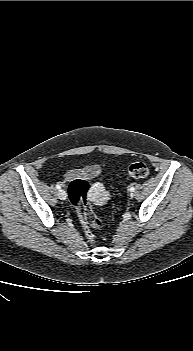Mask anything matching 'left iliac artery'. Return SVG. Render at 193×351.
Here are the masks:
<instances>
[{
	"label": "left iliac artery",
	"mask_w": 193,
	"mask_h": 351,
	"mask_svg": "<svg viewBox=\"0 0 193 351\" xmlns=\"http://www.w3.org/2000/svg\"><path fill=\"white\" fill-rule=\"evenodd\" d=\"M134 190H135L134 186H131V187L129 188V191H130V192H133Z\"/></svg>",
	"instance_id": "44dca946"
}]
</instances>
